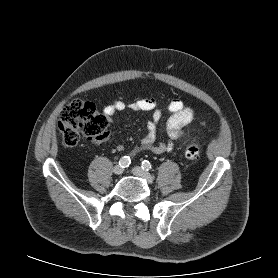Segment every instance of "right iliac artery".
I'll use <instances>...</instances> for the list:
<instances>
[{"label": "right iliac artery", "instance_id": "82829eb1", "mask_svg": "<svg viewBox=\"0 0 278 278\" xmlns=\"http://www.w3.org/2000/svg\"><path fill=\"white\" fill-rule=\"evenodd\" d=\"M131 163V160L128 156H123L120 160H119V165L122 167V168H126L130 165Z\"/></svg>", "mask_w": 278, "mask_h": 278}]
</instances>
